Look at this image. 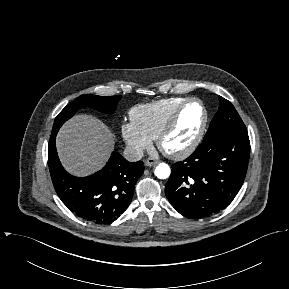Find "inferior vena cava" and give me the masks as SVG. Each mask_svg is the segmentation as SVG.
Masks as SVG:
<instances>
[{
  "instance_id": "inferior-vena-cava-1",
  "label": "inferior vena cava",
  "mask_w": 289,
  "mask_h": 289,
  "mask_svg": "<svg viewBox=\"0 0 289 289\" xmlns=\"http://www.w3.org/2000/svg\"><path fill=\"white\" fill-rule=\"evenodd\" d=\"M126 160L136 162L142 159L144 153L141 148L135 146H127L123 152Z\"/></svg>"
}]
</instances>
